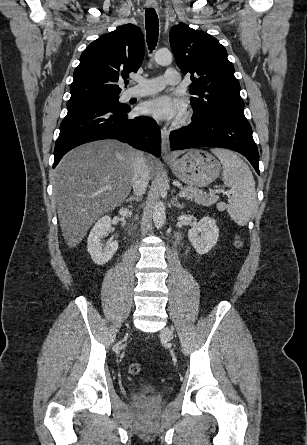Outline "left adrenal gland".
Wrapping results in <instances>:
<instances>
[{
  "instance_id": "a2214340",
  "label": "left adrenal gland",
  "mask_w": 307,
  "mask_h": 445,
  "mask_svg": "<svg viewBox=\"0 0 307 445\" xmlns=\"http://www.w3.org/2000/svg\"><path fill=\"white\" fill-rule=\"evenodd\" d=\"M172 192H174V190H172ZM178 196H173L171 202L173 204V206H178V208H183L184 204H181V202H179V200H177Z\"/></svg>"
}]
</instances>
